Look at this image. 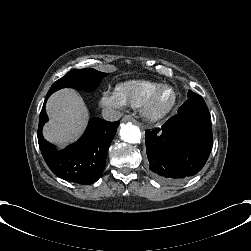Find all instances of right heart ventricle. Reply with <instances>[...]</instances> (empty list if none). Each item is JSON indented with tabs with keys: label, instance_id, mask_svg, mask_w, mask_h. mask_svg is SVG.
I'll return each mask as SVG.
<instances>
[{
	"label": "right heart ventricle",
	"instance_id": "1",
	"mask_svg": "<svg viewBox=\"0 0 251 251\" xmlns=\"http://www.w3.org/2000/svg\"><path fill=\"white\" fill-rule=\"evenodd\" d=\"M157 79L138 78L122 81L115 86V95L119 100L135 108L142 107Z\"/></svg>",
	"mask_w": 251,
	"mask_h": 251
}]
</instances>
